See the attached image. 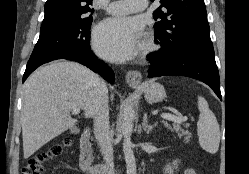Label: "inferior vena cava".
I'll list each match as a JSON object with an SVG mask.
<instances>
[{
	"label": "inferior vena cava",
	"mask_w": 249,
	"mask_h": 174,
	"mask_svg": "<svg viewBox=\"0 0 249 174\" xmlns=\"http://www.w3.org/2000/svg\"><path fill=\"white\" fill-rule=\"evenodd\" d=\"M93 119L94 136L106 163V174H114L113 148L109 128L108 89L105 82L101 80L98 83Z\"/></svg>",
	"instance_id": "1"
}]
</instances>
